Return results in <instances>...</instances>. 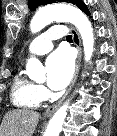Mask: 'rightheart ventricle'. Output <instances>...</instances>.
I'll return each mask as SVG.
<instances>
[{
	"label": "right heart ventricle",
	"mask_w": 117,
	"mask_h": 136,
	"mask_svg": "<svg viewBox=\"0 0 117 136\" xmlns=\"http://www.w3.org/2000/svg\"><path fill=\"white\" fill-rule=\"evenodd\" d=\"M11 99L16 107L31 109L37 108L43 98L39 92L38 85L18 73L12 82Z\"/></svg>",
	"instance_id": "obj_1"
}]
</instances>
